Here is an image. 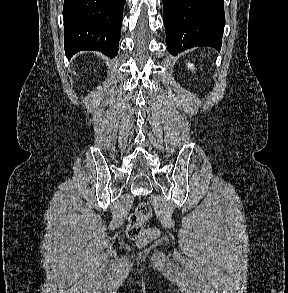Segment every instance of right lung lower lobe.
I'll return each instance as SVG.
<instances>
[{
	"mask_svg": "<svg viewBox=\"0 0 288 293\" xmlns=\"http://www.w3.org/2000/svg\"><path fill=\"white\" fill-rule=\"evenodd\" d=\"M126 0H64V45L71 58L83 50L109 57L118 52Z\"/></svg>",
	"mask_w": 288,
	"mask_h": 293,
	"instance_id": "right-lung-lower-lobe-1",
	"label": "right lung lower lobe"
}]
</instances>
